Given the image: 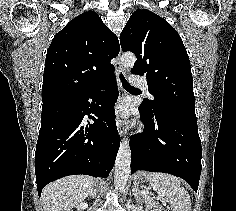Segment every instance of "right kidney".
Wrapping results in <instances>:
<instances>
[{
  "mask_svg": "<svg viewBox=\"0 0 236 211\" xmlns=\"http://www.w3.org/2000/svg\"><path fill=\"white\" fill-rule=\"evenodd\" d=\"M87 208H88V204L85 203V202H82L77 206L78 211L84 210V209H87Z\"/></svg>",
  "mask_w": 236,
  "mask_h": 211,
  "instance_id": "obj_1",
  "label": "right kidney"
}]
</instances>
